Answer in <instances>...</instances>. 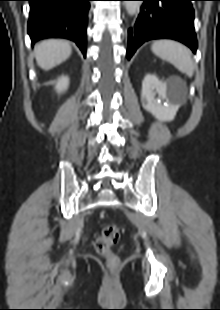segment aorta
<instances>
[{
	"label": "aorta",
	"instance_id": "1",
	"mask_svg": "<svg viewBox=\"0 0 220 310\" xmlns=\"http://www.w3.org/2000/svg\"><path fill=\"white\" fill-rule=\"evenodd\" d=\"M141 6L140 1H125V7L129 15L133 16L139 12Z\"/></svg>",
	"mask_w": 220,
	"mask_h": 310
}]
</instances>
